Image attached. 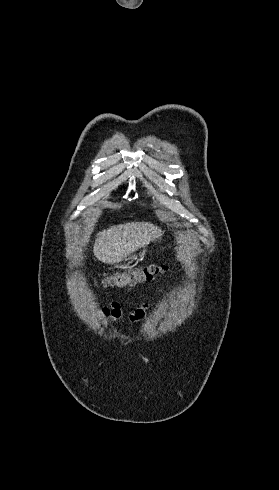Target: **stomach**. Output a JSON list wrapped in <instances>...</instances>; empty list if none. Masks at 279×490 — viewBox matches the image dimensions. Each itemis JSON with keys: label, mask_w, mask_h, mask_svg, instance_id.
I'll use <instances>...</instances> for the list:
<instances>
[{"label": "stomach", "mask_w": 279, "mask_h": 490, "mask_svg": "<svg viewBox=\"0 0 279 490\" xmlns=\"http://www.w3.org/2000/svg\"><path fill=\"white\" fill-rule=\"evenodd\" d=\"M134 258H136V256H131V258H129V260H134Z\"/></svg>", "instance_id": "stomach-1"}]
</instances>
